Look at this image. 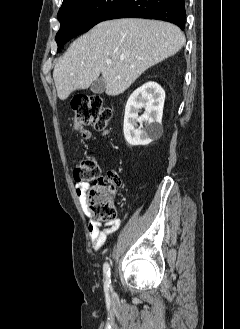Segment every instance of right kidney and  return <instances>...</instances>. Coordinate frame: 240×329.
I'll list each match as a JSON object with an SVG mask.
<instances>
[{"instance_id": "obj_1", "label": "right kidney", "mask_w": 240, "mask_h": 329, "mask_svg": "<svg viewBox=\"0 0 240 329\" xmlns=\"http://www.w3.org/2000/svg\"><path fill=\"white\" fill-rule=\"evenodd\" d=\"M164 100L165 92L155 82H147L131 94L126 103L123 126L124 137L129 145L145 146L161 136ZM142 108L145 112L139 116Z\"/></svg>"}]
</instances>
